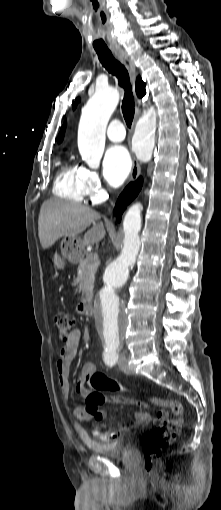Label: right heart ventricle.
<instances>
[{
    "label": "right heart ventricle",
    "instance_id": "1",
    "mask_svg": "<svg viewBox=\"0 0 221 510\" xmlns=\"http://www.w3.org/2000/svg\"><path fill=\"white\" fill-rule=\"evenodd\" d=\"M53 192L60 198L81 203L86 196L82 186V168L64 162L57 173Z\"/></svg>",
    "mask_w": 221,
    "mask_h": 510
}]
</instances>
